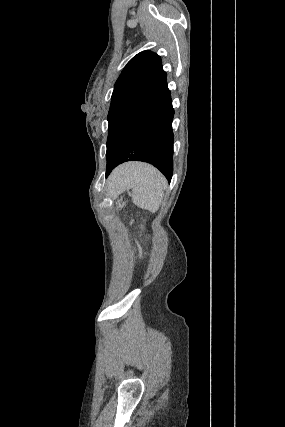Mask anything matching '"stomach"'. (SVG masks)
<instances>
[{
    "label": "stomach",
    "mask_w": 285,
    "mask_h": 427,
    "mask_svg": "<svg viewBox=\"0 0 285 427\" xmlns=\"http://www.w3.org/2000/svg\"><path fill=\"white\" fill-rule=\"evenodd\" d=\"M119 207H122L124 205V202L122 201V198L118 200L117 202Z\"/></svg>",
    "instance_id": "0dacf381"
}]
</instances>
